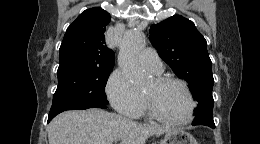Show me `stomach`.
Here are the masks:
<instances>
[{"label": "stomach", "instance_id": "1", "mask_svg": "<svg viewBox=\"0 0 260 144\" xmlns=\"http://www.w3.org/2000/svg\"><path fill=\"white\" fill-rule=\"evenodd\" d=\"M161 144H198L196 139L183 129H174L166 133Z\"/></svg>", "mask_w": 260, "mask_h": 144}]
</instances>
